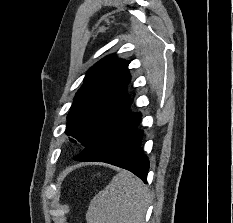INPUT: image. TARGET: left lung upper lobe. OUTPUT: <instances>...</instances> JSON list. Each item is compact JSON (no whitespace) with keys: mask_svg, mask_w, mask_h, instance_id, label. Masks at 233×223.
<instances>
[{"mask_svg":"<svg viewBox=\"0 0 233 223\" xmlns=\"http://www.w3.org/2000/svg\"><path fill=\"white\" fill-rule=\"evenodd\" d=\"M129 61L107 56L87 72L68 114L70 141L87 146L130 98Z\"/></svg>","mask_w":233,"mask_h":223,"instance_id":"left-lung-upper-lobe-1","label":"left lung upper lobe"}]
</instances>
